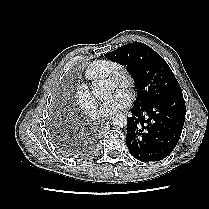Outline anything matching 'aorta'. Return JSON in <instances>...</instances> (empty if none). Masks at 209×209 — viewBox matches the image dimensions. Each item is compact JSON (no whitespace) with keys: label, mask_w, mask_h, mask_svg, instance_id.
<instances>
[{"label":"aorta","mask_w":209,"mask_h":209,"mask_svg":"<svg viewBox=\"0 0 209 209\" xmlns=\"http://www.w3.org/2000/svg\"><path fill=\"white\" fill-rule=\"evenodd\" d=\"M92 93L96 98L106 99L110 91L104 83L97 82L92 87ZM127 122V117L122 113L114 115L111 120L112 125L121 128L125 127L127 125Z\"/></svg>","instance_id":"1"}]
</instances>
